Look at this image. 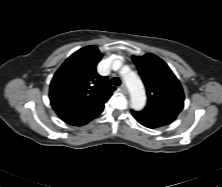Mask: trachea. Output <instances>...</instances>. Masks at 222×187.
<instances>
[{
    "label": "trachea",
    "instance_id": "1",
    "mask_svg": "<svg viewBox=\"0 0 222 187\" xmlns=\"http://www.w3.org/2000/svg\"><path fill=\"white\" fill-rule=\"evenodd\" d=\"M111 84L114 85V86H120L121 84V80L117 77H114L112 80H111Z\"/></svg>",
    "mask_w": 222,
    "mask_h": 187
}]
</instances>
